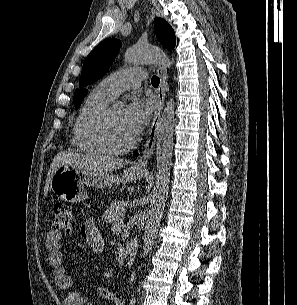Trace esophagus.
I'll use <instances>...</instances> for the list:
<instances>
[{
    "instance_id": "esophagus-1",
    "label": "esophagus",
    "mask_w": 297,
    "mask_h": 305,
    "mask_svg": "<svg viewBox=\"0 0 297 305\" xmlns=\"http://www.w3.org/2000/svg\"><path fill=\"white\" fill-rule=\"evenodd\" d=\"M157 72L160 77V85L158 87V93H157L158 109L149 128L148 138L143 147L142 154L134 164V168L141 171L145 170L146 164L153 154L156 132L161 119V113L165 102L166 90L168 87L166 65L164 63L160 64L157 68Z\"/></svg>"
}]
</instances>
